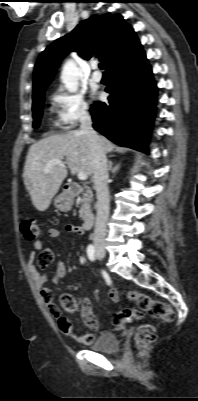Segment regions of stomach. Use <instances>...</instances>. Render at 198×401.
Segmentation results:
<instances>
[{"instance_id":"obj_1","label":"stomach","mask_w":198,"mask_h":401,"mask_svg":"<svg viewBox=\"0 0 198 401\" xmlns=\"http://www.w3.org/2000/svg\"><path fill=\"white\" fill-rule=\"evenodd\" d=\"M54 205L58 210L66 212L72 208L73 200L67 193L63 192L55 197Z\"/></svg>"}]
</instances>
